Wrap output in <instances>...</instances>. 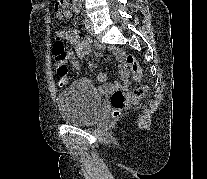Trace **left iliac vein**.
<instances>
[{
	"label": "left iliac vein",
	"instance_id": "left-iliac-vein-1",
	"mask_svg": "<svg viewBox=\"0 0 207 179\" xmlns=\"http://www.w3.org/2000/svg\"><path fill=\"white\" fill-rule=\"evenodd\" d=\"M85 26H86V29H87L89 32H93V25H92V22H91L90 19H88L87 17H85Z\"/></svg>",
	"mask_w": 207,
	"mask_h": 179
}]
</instances>
